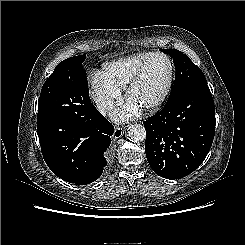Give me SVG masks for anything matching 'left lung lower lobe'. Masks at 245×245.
<instances>
[{
    "instance_id": "1",
    "label": "left lung lower lobe",
    "mask_w": 245,
    "mask_h": 245,
    "mask_svg": "<svg viewBox=\"0 0 245 245\" xmlns=\"http://www.w3.org/2000/svg\"><path fill=\"white\" fill-rule=\"evenodd\" d=\"M145 153L152 170L166 179L195 171L215 134V106L208 85L192 88L143 122Z\"/></svg>"
}]
</instances>
